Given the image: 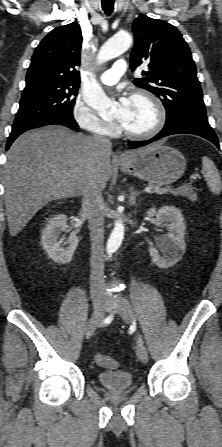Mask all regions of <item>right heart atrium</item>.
I'll return each mask as SVG.
<instances>
[{
	"label": "right heart atrium",
	"mask_w": 222,
	"mask_h": 447,
	"mask_svg": "<svg viewBox=\"0 0 222 447\" xmlns=\"http://www.w3.org/2000/svg\"><path fill=\"white\" fill-rule=\"evenodd\" d=\"M72 117L83 129L98 135H111L115 131V123L101 119L85 102L75 104Z\"/></svg>",
	"instance_id": "obj_1"
}]
</instances>
